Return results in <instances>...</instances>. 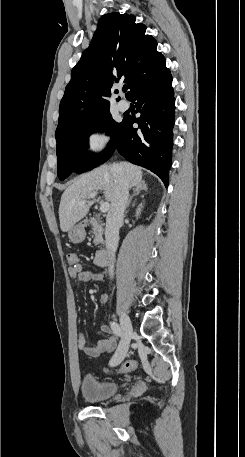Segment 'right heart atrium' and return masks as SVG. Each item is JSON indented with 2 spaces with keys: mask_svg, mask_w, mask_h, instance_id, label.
<instances>
[{
  "mask_svg": "<svg viewBox=\"0 0 245 457\" xmlns=\"http://www.w3.org/2000/svg\"><path fill=\"white\" fill-rule=\"evenodd\" d=\"M106 141L107 137L101 131H94L89 136V144L94 149L101 147Z\"/></svg>",
  "mask_w": 245,
  "mask_h": 457,
  "instance_id": "obj_1",
  "label": "right heart atrium"
}]
</instances>
